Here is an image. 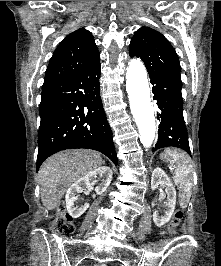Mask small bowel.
<instances>
[{
  "instance_id": "1",
  "label": "small bowel",
  "mask_w": 221,
  "mask_h": 266,
  "mask_svg": "<svg viewBox=\"0 0 221 266\" xmlns=\"http://www.w3.org/2000/svg\"><path fill=\"white\" fill-rule=\"evenodd\" d=\"M95 266H107L106 264H103V263H101V264H96Z\"/></svg>"
}]
</instances>
